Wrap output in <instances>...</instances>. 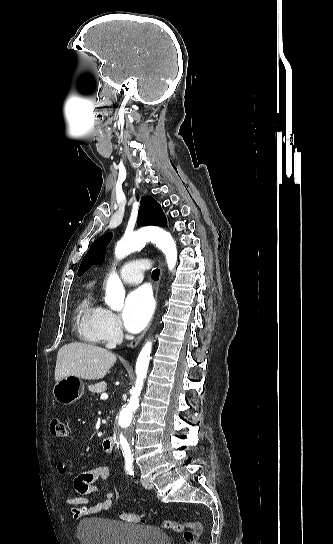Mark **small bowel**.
Wrapping results in <instances>:
<instances>
[{
	"label": "small bowel",
	"mask_w": 333,
	"mask_h": 544,
	"mask_svg": "<svg viewBox=\"0 0 333 544\" xmlns=\"http://www.w3.org/2000/svg\"><path fill=\"white\" fill-rule=\"evenodd\" d=\"M110 470V466L104 464L84 471L74 479V489L79 495L65 499L66 504L71 507L74 518L107 511L113 502L118 499L115 487L109 483ZM57 471L60 474H65L67 471L66 464L59 462L57 464ZM97 480H101L103 483L105 498L101 501L93 502L89 498V495L98 492V487L94 485Z\"/></svg>",
	"instance_id": "1"
}]
</instances>
